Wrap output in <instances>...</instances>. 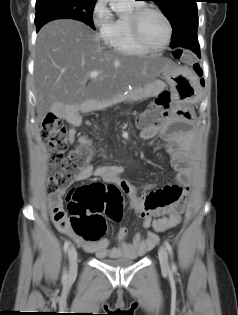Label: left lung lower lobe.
<instances>
[{
	"label": "left lung lower lobe",
	"instance_id": "0a47b994",
	"mask_svg": "<svg viewBox=\"0 0 238 315\" xmlns=\"http://www.w3.org/2000/svg\"><path fill=\"white\" fill-rule=\"evenodd\" d=\"M171 47L172 48H175V47L188 48L192 50L193 52H195L198 57H200V46H199L197 37L188 38V39L178 41V42H173L171 44Z\"/></svg>",
	"mask_w": 238,
	"mask_h": 315
}]
</instances>
